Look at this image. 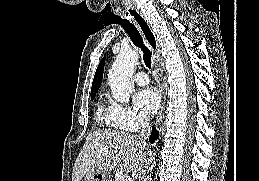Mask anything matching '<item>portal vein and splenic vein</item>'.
<instances>
[{
  "label": "portal vein and splenic vein",
  "instance_id": "1",
  "mask_svg": "<svg viewBox=\"0 0 259 181\" xmlns=\"http://www.w3.org/2000/svg\"><path fill=\"white\" fill-rule=\"evenodd\" d=\"M119 181H131V178L125 174L119 177Z\"/></svg>",
  "mask_w": 259,
  "mask_h": 181
}]
</instances>
